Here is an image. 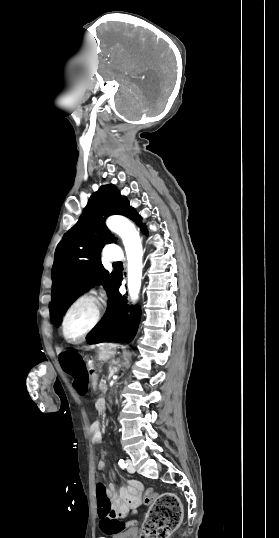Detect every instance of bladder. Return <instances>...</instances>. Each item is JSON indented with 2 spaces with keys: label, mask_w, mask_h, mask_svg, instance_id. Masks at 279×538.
I'll return each instance as SVG.
<instances>
[{
  "label": "bladder",
  "mask_w": 279,
  "mask_h": 538,
  "mask_svg": "<svg viewBox=\"0 0 279 538\" xmlns=\"http://www.w3.org/2000/svg\"><path fill=\"white\" fill-rule=\"evenodd\" d=\"M113 538H139V534L138 532H114Z\"/></svg>",
  "instance_id": "1"
}]
</instances>
